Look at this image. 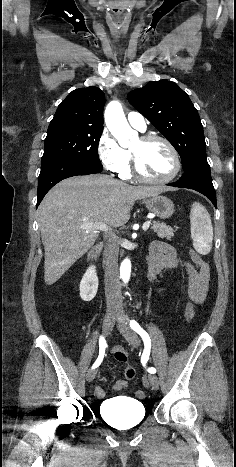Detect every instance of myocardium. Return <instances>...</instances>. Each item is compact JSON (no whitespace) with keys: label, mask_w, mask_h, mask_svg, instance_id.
<instances>
[{"label":"myocardium","mask_w":236,"mask_h":467,"mask_svg":"<svg viewBox=\"0 0 236 467\" xmlns=\"http://www.w3.org/2000/svg\"><path fill=\"white\" fill-rule=\"evenodd\" d=\"M140 140L143 142V143H149L151 141H160L162 143H164L167 148L169 149L172 157H173V161H174V168H173V171L166 177L164 178H151V177H148L147 175H145L139 168V164H138V157L137 155L131 150V161H132V173L133 175L138 178L139 180L143 181V182H147V183H153V184H164V183H168V182H171L172 180H174L178 174L180 173L181 171V167H182V164H181V158H180V155L177 151V149L175 148V146L164 136H161V135H158V134H146V135H143L141 136Z\"/></svg>","instance_id":"1"}]
</instances>
